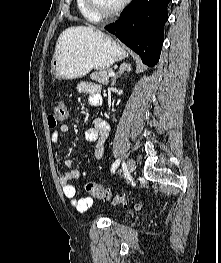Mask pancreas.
Segmentation results:
<instances>
[{"mask_svg": "<svg viewBox=\"0 0 221 263\" xmlns=\"http://www.w3.org/2000/svg\"><path fill=\"white\" fill-rule=\"evenodd\" d=\"M111 69L103 70V71H95L90 74V78L96 82H99L103 85H108L109 83V76L108 74L111 72Z\"/></svg>", "mask_w": 221, "mask_h": 263, "instance_id": "obj_1", "label": "pancreas"}]
</instances>
